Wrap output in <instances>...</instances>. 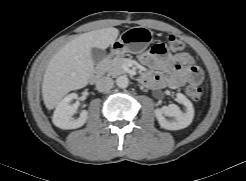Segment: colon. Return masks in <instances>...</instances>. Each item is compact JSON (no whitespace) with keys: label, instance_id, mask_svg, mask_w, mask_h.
I'll return each instance as SVG.
<instances>
[{"label":"colon","instance_id":"colon-1","mask_svg":"<svg viewBox=\"0 0 246 181\" xmlns=\"http://www.w3.org/2000/svg\"><path fill=\"white\" fill-rule=\"evenodd\" d=\"M186 45L181 40L170 37L167 45L156 44L152 47L151 51L154 54L161 55L168 51H173L177 53H181L185 51ZM203 75L201 70L194 66L191 68V83L188 84L185 88V91L188 96H190L194 100H199L202 97V90L200 88V83L202 82Z\"/></svg>","mask_w":246,"mask_h":181}]
</instances>
